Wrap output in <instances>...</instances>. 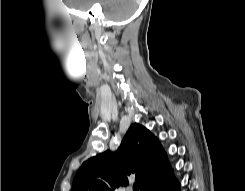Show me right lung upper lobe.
I'll return each mask as SVG.
<instances>
[{
  "label": "right lung upper lobe",
  "instance_id": "obj_1",
  "mask_svg": "<svg viewBox=\"0 0 245 191\" xmlns=\"http://www.w3.org/2000/svg\"><path fill=\"white\" fill-rule=\"evenodd\" d=\"M169 169L166 152L158 138L135 123L115 154L105 151L82 164L71 191H115L128 186L132 175L145 191Z\"/></svg>",
  "mask_w": 245,
  "mask_h": 191
}]
</instances>
